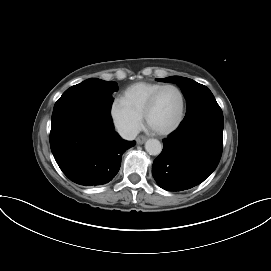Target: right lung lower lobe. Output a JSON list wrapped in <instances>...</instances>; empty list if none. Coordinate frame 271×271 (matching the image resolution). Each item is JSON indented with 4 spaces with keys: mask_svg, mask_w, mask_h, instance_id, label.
Listing matches in <instances>:
<instances>
[{
    "mask_svg": "<svg viewBox=\"0 0 271 271\" xmlns=\"http://www.w3.org/2000/svg\"><path fill=\"white\" fill-rule=\"evenodd\" d=\"M110 109L90 104L52 114V154L63 173L77 184L111 181L120 169L122 154L136 143L114 132Z\"/></svg>",
    "mask_w": 271,
    "mask_h": 271,
    "instance_id": "1",
    "label": "right lung lower lobe"
}]
</instances>
